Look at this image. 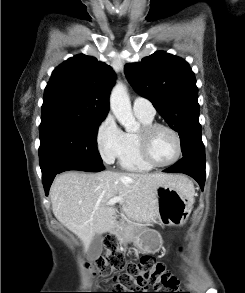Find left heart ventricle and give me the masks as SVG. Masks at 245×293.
<instances>
[{
  "label": "left heart ventricle",
  "instance_id": "1",
  "mask_svg": "<svg viewBox=\"0 0 245 293\" xmlns=\"http://www.w3.org/2000/svg\"><path fill=\"white\" fill-rule=\"evenodd\" d=\"M149 151L154 161L165 163L176 154V142L173 135L166 129H157L151 136Z\"/></svg>",
  "mask_w": 245,
  "mask_h": 293
}]
</instances>
